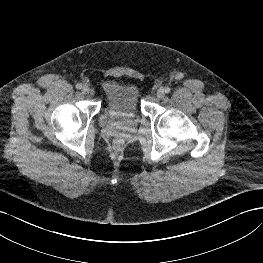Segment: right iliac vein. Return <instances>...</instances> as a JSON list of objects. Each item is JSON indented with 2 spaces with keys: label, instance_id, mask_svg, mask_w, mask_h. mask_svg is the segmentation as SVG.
<instances>
[{
  "label": "right iliac vein",
  "instance_id": "63e3f726",
  "mask_svg": "<svg viewBox=\"0 0 263 263\" xmlns=\"http://www.w3.org/2000/svg\"><path fill=\"white\" fill-rule=\"evenodd\" d=\"M82 93H83V94H89V93H90V88H89V86L83 85V87H82Z\"/></svg>",
  "mask_w": 263,
  "mask_h": 263
}]
</instances>
